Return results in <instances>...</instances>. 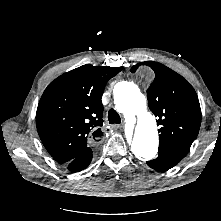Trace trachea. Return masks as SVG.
<instances>
[{
	"mask_svg": "<svg viewBox=\"0 0 221 221\" xmlns=\"http://www.w3.org/2000/svg\"><path fill=\"white\" fill-rule=\"evenodd\" d=\"M108 121L110 124H120L121 118L116 110L110 109L108 112Z\"/></svg>",
	"mask_w": 221,
	"mask_h": 221,
	"instance_id": "trachea-1",
	"label": "trachea"
}]
</instances>
